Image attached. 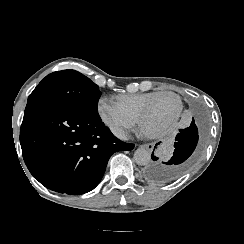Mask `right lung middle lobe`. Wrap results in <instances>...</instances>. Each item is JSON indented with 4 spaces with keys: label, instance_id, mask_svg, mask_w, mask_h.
<instances>
[{
    "label": "right lung middle lobe",
    "instance_id": "right-lung-middle-lobe-1",
    "mask_svg": "<svg viewBox=\"0 0 244 244\" xmlns=\"http://www.w3.org/2000/svg\"><path fill=\"white\" fill-rule=\"evenodd\" d=\"M101 96L98 85L75 70L47 75L28 97L29 102H56L96 114Z\"/></svg>",
    "mask_w": 244,
    "mask_h": 244
}]
</instances>
